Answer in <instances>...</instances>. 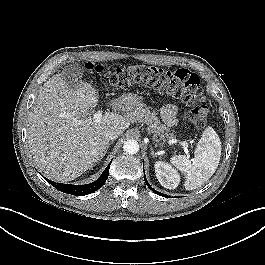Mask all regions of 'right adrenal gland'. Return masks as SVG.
Wrapping results in <instances>:
<instances>
[{"label":"right adrenal gland","instance_id":"2a0ac1e0","mask_svg":"<svg viewBox=\"0 0 265 265\" xmlns=\"http://www.w3.org/2000/svg\"><path fill=\"white\" fill-rule=\"evenodd\" d=\"M112 143H113V141H110V142H109V144H108L106 150L104 151V154L101 156V158H103V157L105 156V154L107 153L108 148L110 147V145H111ZM101 158H100V159H101Z\"/></svg>","mask_w":265,"mask_h":265}]
</instances>
